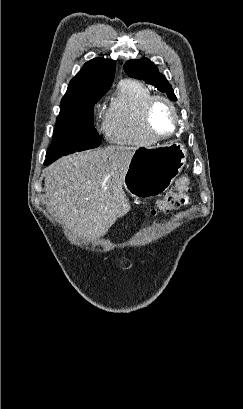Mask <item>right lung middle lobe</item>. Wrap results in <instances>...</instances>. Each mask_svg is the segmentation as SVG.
I'll list each match as a JSON object with an SVG mask.
<instances>
[{
	"label": "right lung middle lobe",
	"mask_w": 243,
	"mask_h": 409,
	"mask_svg": "<svg viewBox=\"0 0 243 409\" xmlns=\"http://www.w3.org/2000/svg\"><path fill=\"white\" fill-rule=\"evenodd\" d=\"M97 102L87 106H60L53 141L46 156L68 155L101 144L93 123V110Z\"/></svg>",
	"instance_id": "dd1d6c3e"
}]
</instances>
